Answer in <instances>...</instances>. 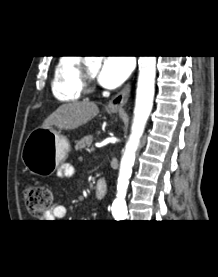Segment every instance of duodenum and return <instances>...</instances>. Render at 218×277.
<instances>
[{"instance_id":"1","label":"duodenum","mask_w":218,"mask_h":277,"mask_svg":"<svg viewBox=\"0 0 218 277\" xmlns=\"http://www.w3.org/2000/svg\"><path fill=\"white\" fill-rule=\"evenodd\" d=\"M107 188H108L107 182L104 179H101V178L98 179L94 185L96 197L98 199L105 198L106 193H107Z\"/></svg>"}]
</instances>
